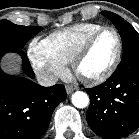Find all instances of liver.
<instances>
[{
	"label": "liver",
	"instance_id": "obj_1",
	"mask_svg": "<svg viewBox=\"0 0 139 139\" xmlns=\"http://www.w3.org/2000/svg\"><path fill=\"white\" fill-rule=\"evenodd\" d=\"M18 59L14 56H8L5 60V66L9 71H17L18 70Z\"/></svg>",
	"mask_w": 139,
	"mask_h": 139
}]
</instances>
